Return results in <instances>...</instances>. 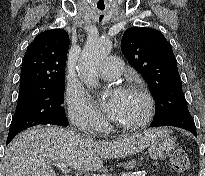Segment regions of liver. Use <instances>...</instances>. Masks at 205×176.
<instances>
[{
    "instance_id": "6515ba94",
    "label": "liver",
    "mask_w": 205,
    "mask_h": 176,
    "mask_svg": "<svg viewBox=\"0 0 205 176\" xmlns=\"http://www.w3.org/2000/svg\"><path fill=\"white\" fill-rule=\"evenodd\" d=\"M164 128L148 129L117 141H87L58 127H34L19 134L8 145L6 176H56L50 163H66L81 172H95L103 159L124 157L145 149Z\"/></svg>"
}]
</instances>
